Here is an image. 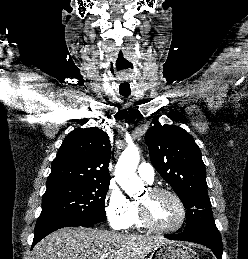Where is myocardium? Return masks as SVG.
Instances as JSON below:
<instances>
[{"instance_id": "f54148a6", "label": "myocardium", "mask_w": 248, "mask_h": 259, "mask_svg": "<svg viewBox=\"0 0 248 259\" xmlns=\"http://www.w3.org/2000/svg\"><path fill=\"white\" fill-rule=\"evenodd\" d=\"M147 191L151 195L166 194L172 197L180 209V219H179V222L171 228L158 227L152 222L148 212L147 205L145 203L138 201L139 218H140L141 224L145 228L149 229L150 231H153L159 234H173L179 231L183 227L187 216L186 207L182 199L179 197V195L168 188H164L160 186L150 187Z\"/></svg>"}]
</instances>
